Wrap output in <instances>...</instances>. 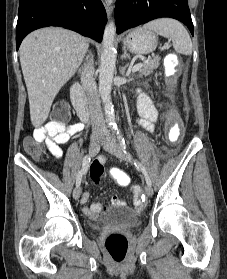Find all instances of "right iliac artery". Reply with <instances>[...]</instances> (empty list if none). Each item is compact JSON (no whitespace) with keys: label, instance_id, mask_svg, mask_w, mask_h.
Segmentation results:
<instances>
[{"label":"right iliac artery","instance_id":"right-iliac-artery-1","mask_svg":"<svg viewBox=\"0 0 227 279\" xmlns=\"http://www.w3.org/2000/svg\"><path fill=\"white\" fill-rule=\"evenodd\" d=\"M90 155H86L83 159V164H82V168L81 170L79 171L78 175H77V178H76V187H79L80 184H81V181H82V177L83 175H85V173L87 172L88 170V167H89V163H90ZM143 199V197H142Z\"/></svg>","mask_w":227,"mask_h":279}]
</instances>
